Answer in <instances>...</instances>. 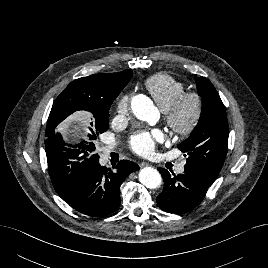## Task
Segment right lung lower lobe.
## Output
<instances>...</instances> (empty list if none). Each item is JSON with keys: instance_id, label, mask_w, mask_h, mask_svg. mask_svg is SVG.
<instances>
[{"instance_id": "right-lung-lower-lobe-1", "label": "right lung lower lobe", "mask_w": 268, "mask_h": 268, "mask_svg": "<svg viewBox=\"0 0 268 268\" xmlns=\"http://www.w3.org/2000/svg\"><path fill=\"white\" fill-rule=\"evenodd\" d=\"M138 169L136 163L121 160L112 171L101 166L98 160L61 198L85 215L106 216L119 208L120 186L130 173Z\"/></svg>"}]
</instances>
